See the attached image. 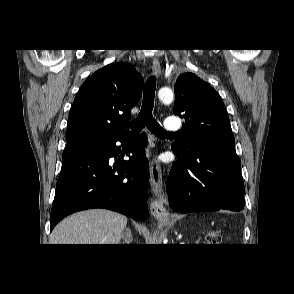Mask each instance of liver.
I'll list each match as a JSON object with an SVG mask.
<instances>
[{"label": "liver", "instance_id": "obj_1", "mask_svg": "<svg viewBox=\"0 0 294 294\" xmlns=\"http://www.w3.org/2000/svg\"><path fill=\"white\" fill-rule=\"evenodd\" d=\"M127 217L105 209L75 213L62 220L50 235V244H119Z\"/></svg>", "mask_w": 294, "mask_h": 294}]
</instances>
